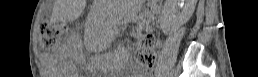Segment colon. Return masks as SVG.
I'll return each mask as SVG.
<instances>
[{
	"label": "colon",
	"instance_id": "obj_1",
	"mask_svg": "<svg viewBox=\"0 0 258 77\" xmlns=\"http://www.w3.org/2000/svg\"><path fill=\"white\" fill-rule=\"evenodd\" d=\"M39 31L42 41L47 45H52L60 38L63 29L49 24H42ZM135 58L143 67L149 68L153 66L156 58V49L155 38L152 34L141 36L136 46Z\"/></svg>",
	"mask_w": 258,
	"mask_h": 77
}]
</instances>
